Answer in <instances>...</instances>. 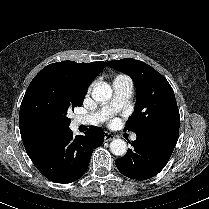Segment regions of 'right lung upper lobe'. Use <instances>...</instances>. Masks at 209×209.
Segmentation results:
<instances>
[{
    "label": "right lung upper lobe",
    "mask_w": 209,
    "mask_h": 209,
    "mask_svg": "<svg viewBox=\"0 0 209 209\" xmlns=\"http://www.w3.org/2000/svg\"><path fill=\"white\" fill-rule=\"evenodd\" d=\"M48 66L66 67L76 70L82 79L83 85L87 90L90 83L97 77L105 66L106 62L98 61L91 63H76L74 61H62L53 63ZM19 128L22 141L26 152L29 155L37 152L48 141L62 134L64 131H46L28 124L24 119L19 117Z\"/></svg>",
    "instance_id": "1"
}]
</instances>
